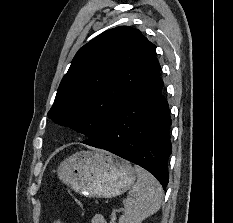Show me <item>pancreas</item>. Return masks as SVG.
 <instances>
[{"label":"pancreas","mask_w":233,"mask_h":223,"mask_svg":"<svg viewBox=\"0 0 233 223\" xmlns=\"http://www.w3.org/2000/svg\"><path fill=\"white\" fill-rule=\"evenodd\" d=\"M115 211H117V209H114L113 213H115Z\"/></svg>","instance_id":"obj_1"}]
</instances>
